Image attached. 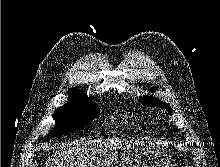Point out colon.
<instances>
[{"mask_svg": "<svg viewBox=\"0 0 220 167\" xmlns=\"http://www.w3.org/2000/svg\"><path fill=\"white\" fill-rule=\"evenodd\" d=\"M170 167H179L178 165H171Z\"/></svg>", "mask_w": 220, "mask_h": 167, "instance_id": "5ec220e1", "label": "colon"}]
</instances>
